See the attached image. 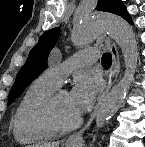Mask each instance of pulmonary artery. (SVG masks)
Here are the masks:
<instances>
[{
  "label": "pulmonary artery",
  "instance_id": "1",
  "mask_svg": "<svg viewBox=\"0 0 145 147\" xmlns=\"http://www.w3.org/2000/svg\"><path fill=\"white\" fill-rule=\"evenodd\" d=\"M98 59V50L95 48L86 51L78 52L69 60L51 65L44 71V75L57 84H61L64 78L73 70L84 66L93 64Z\"/></svg>",
  "mask_w": 145,
  "mask_h": 147
}]
</instances>
